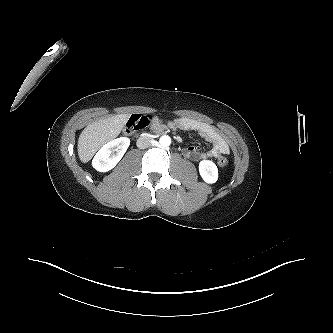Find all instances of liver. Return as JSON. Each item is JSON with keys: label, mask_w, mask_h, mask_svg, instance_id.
<instances>
[{"label": "liver", "mask_w": 333, "mask_h": 333, "mask_svg": "<svg viewBox=\"0 0 333 333\" xmlns=\"http://www.w3.org/2000/svg\"><path fill=\"white\" fill-rule=\"evenodd\" d=\"M128 114L110 115L89 124L78 139V155L83 163L88 162L96 151L117 137L128 120Z\"/></svg>", "instance_id": "6515ba94"}]
</instances>
